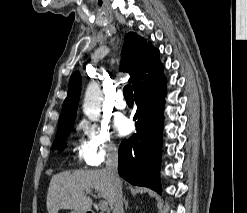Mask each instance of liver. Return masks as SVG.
I'll use <instances>...</instances> for the list:
<instances>
[{
	"instance_id": "liver-1",
	"label": "liver",
	"mask_w": 247,
	"mask_h": 213,
	"mask_svg": "<svg viewBox=\"0 0 247 213\" xmlns=\"http://www.w3.org/2000/svg\"><path fill=\"white\" fill-rule=\"evenodd\" d=\"M95 190L114 206V183L105 169L65 171L52 176L47 193L48 213L60 209L78 210L86 213L91 209L92 199L87 196Z\"/></svg>"
}]
</instances>
